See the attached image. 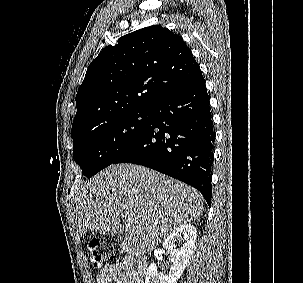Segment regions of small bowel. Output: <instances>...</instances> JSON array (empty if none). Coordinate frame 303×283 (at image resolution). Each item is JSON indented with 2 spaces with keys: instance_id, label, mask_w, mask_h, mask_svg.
Here are the masks:
<instances>
[{
  "instance_id": "small-bowel-1",
  "label": "small bowel",
  "mask_w": 303,
  "mask_h": 283,
  "mask_svg": "<svg viewBox=\"0 0 303 283\" xmlns=\"http://www.w3.org/2000/svg\"><path fill=\"white\" fill-rule=\"evenodd\" d=\"M144 273L141 272L136 260L131 256L109 263L97 277L96 283H143Z\"/></svg>"
}]
</instances>
